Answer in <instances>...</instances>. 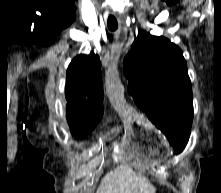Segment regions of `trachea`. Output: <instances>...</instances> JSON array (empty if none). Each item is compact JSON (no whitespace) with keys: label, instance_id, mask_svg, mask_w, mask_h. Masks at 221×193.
Instances as JSON below:
<instances>
[{"label":"trachea","instance_id":"trachea-1","mask_svg":"<svg viewBox=\"0 0 221 193\" xmlns=\"http://www.w3.org/2000/svg\"><path fill=\"white\" fill-rule=\"evenodd\" d=\"M107 26L111 31H115L118 28V22L113 15L108 17Z\"/></svg>","mask_w":221,"mask_h":193}]
</instances>
